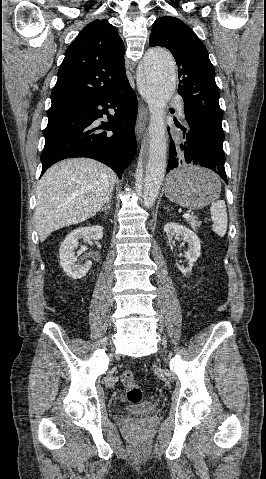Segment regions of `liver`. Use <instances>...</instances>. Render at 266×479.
Instances as JSON below:
<instances>
[{"label":"liver","instance_id":"1","mask_svg":"<svg viewBox=\"0 0 266 479\" xmlns=\"http://www.w3.org/2000/svg\"><path fill=\"white\" fill-rule=\"evenodd\" d=\"M115 182V173L93 159H67L49 168L36 190L40 241L55 230L95 216L110 198Z\"/></svg>","mask_w":266,"mask_h":479}]
</instances>
